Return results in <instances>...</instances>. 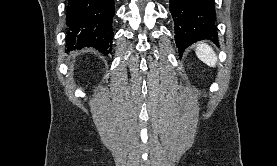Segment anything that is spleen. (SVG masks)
I'll list each match as a JSON object with an SVG mask.
<instances>
[{
    "mask_svg": "<svg viewBox=\"0 0 277 166\" xmlns=\"http://www.w3.org/2000/svg\"><path fill=\"white\" fill-rule=\"evenodd\" d=\"M197 57L210 67H215L217 63V56L213 49L206 43H200L196 47Z\"/></svg>",
    "mask_w": 277,
    "mask_h": 166,
    "instance_id": "3e777b00",
    "label": "spleen"
}]
</instances>
